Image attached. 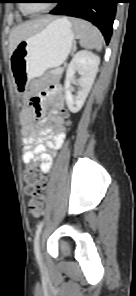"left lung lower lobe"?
<instances>
[{
  "label": "left lung lower lobe",
  "instance_id": "obj_1",
  "mask_svg": "<svg viewBox=\"0 0 136 296\" xmlns=\"http://www.w3.org/2000/svg\"><path fill=\"white\" fill-rule=\"evenodd\" d=\"M50 14L83 18L96 25L102 32L106 44L112 34V24L119 0H60Z\"/></svg>",
  "mask_w": 136,
  "mask_h": 296
}]
</instances>
